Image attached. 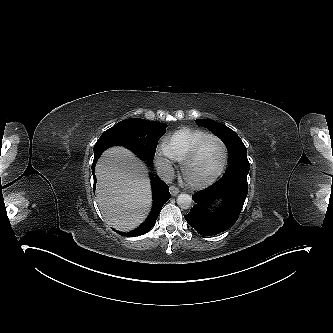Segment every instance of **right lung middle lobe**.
I'll return each mask as SVG.
<instances>
[{"label": "right lung middle lobe", "mask_w": 333, "mask_h": 333, "mask_svg": "<svg viewBox=\"0 0 333 333\" xmlns=\"http://www.w3.org/2000/svg\"><path fill=\"white\" fill-rule=\"evenodd\" d=\"M166 127L165 123L131 118L118 122L107 131L128 139L144 157L152 162L158 140L166 132Z\"/></svg>", "instance_id": "1"}]
</instances>
